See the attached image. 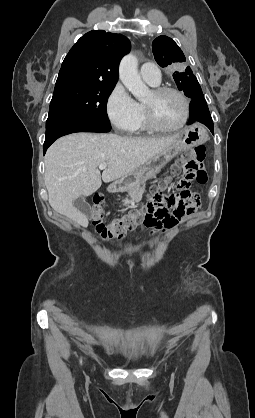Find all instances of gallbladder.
<instances>
[{"label": "gallbladder", "instance_id": "obj_1", "mask_svg": "<svg viewBox=\"0 0 255 418\" xmlns=\"http://www.w3.org/2000/svg\"><path fill=\"white\" fill-rule=\"evenodd\" d=\"M74 206L82 212L86 217L90 218L92 216V210L89 204L86 201V198L84 196L78 197L74 201Z\"/></svg>", "mask_w": 255, "mask_h": 418}]
</instances>
